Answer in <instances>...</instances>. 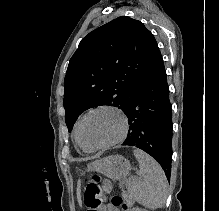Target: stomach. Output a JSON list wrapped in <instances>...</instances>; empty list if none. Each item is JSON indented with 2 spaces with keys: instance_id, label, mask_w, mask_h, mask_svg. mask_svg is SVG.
I'll return each mask as SVG.
<instances>
[{
  "instance_id": "1",
  "label": "stomach",
  "mask_w": 219,
  "mask_h": 211,
  "mask_svg": "<svg viewBox=\"0 0 219 211\" xmlns=\"http://www.w3.org/2000/svg\"><path fill=\"white\" fill-rule=\"evenodd\" d=\"M131 170L129 161L121 155H112L88 164L87 171H96L113 180L126 177Z\"/></svg>"
}]
</instances>
